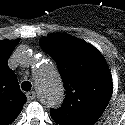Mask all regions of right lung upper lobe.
Wrapping results in <instances>:
<instances>
[{
  "mask_svg": "<svg viewBox=\"0 0 125 125\" xmlns=\"http://www.w3.org/2000/svg\"><path fill=\"white\" fill-rule=\"evenodd\" d=\"M19 41H0V125L12 123L26 103L17 76L8 67V59Z\"/></svg>",
  "mask_w": 125,
  "mask_h": 125,
  "instance_id": "obj_1",
  "label": "right lung upper lobe"
}]
</instances>
